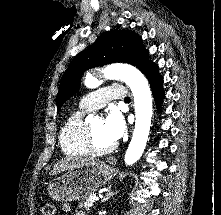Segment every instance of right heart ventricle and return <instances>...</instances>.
Returning a JSON list of instances; mask_svg holds the SVG:
<instances>
[{
  "label": "right heart ventricle",
  "mask_w": 221,
  "mask_h": 215,
  "mask_svg": "<svg viewBox=\"0 0 221 215\" xmlns=\"http://www.w3.org/2000/svg\"><path fill=\"white\" fill-rule=\"evenodd\" d=\"M84 114L83 109L71 113L61 128L60 146L67 155L85 156L90 153L86 144L87 124Z\"/></svg>",
  "instance_id": "right-heart-ventricle-1"
}]
</instances>
